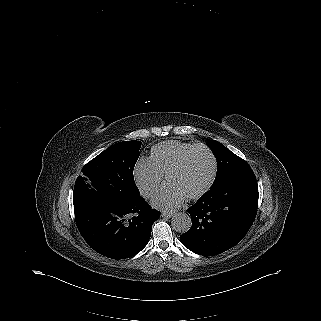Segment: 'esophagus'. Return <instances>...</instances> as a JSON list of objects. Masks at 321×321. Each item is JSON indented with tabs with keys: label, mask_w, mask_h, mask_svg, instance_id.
<instances>
[{
	"label": "esophagus",
	"mask_w": 321,
	"mask_h": 321,
	"mask_svg": "<svg viewBox=\"0 0 321 321\" xmlns=\"http://www.w3.org/2000/svg\"><path fill=\"white\" fill-rule=\"evenodd\" d=\"M161 216L163 217V218H171L172 216H173V213L171 212H163L162 214H161Z\"/></svg>",
	"instance_id": "34e87169"
}]
</instances>
